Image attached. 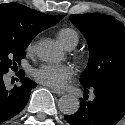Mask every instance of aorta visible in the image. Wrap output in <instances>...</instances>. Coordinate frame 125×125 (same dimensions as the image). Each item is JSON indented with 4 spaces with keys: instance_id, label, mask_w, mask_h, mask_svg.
<instances>
[{
    "instance_id": "1",
    "label": "aorta",
    "mask_w": 125,
    "mask_h": 125,
    "mask_svg": "<svg viewBox=\"0 0 125 125\" xmlns=\"http://www.w3.org/2000/svg\"><path fill=\"white\" fill-rule=\"evenodd\" d=\"M37 56L45 62H56L62 57V52L52 40H42L36 45ZM79 100L73 95H64L58 101L59 110L66 115H72L79 109Z\"/></svg>"
}]
</instances>
